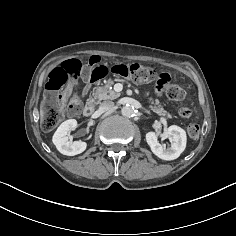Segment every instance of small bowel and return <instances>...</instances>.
<instances>
[{"instance_id": "small-bowel-1", "label": "small bowel", "mask_w": 236, "mask_h": 236, "mask_svg": "<svg viewBox=\"0 0 236 236\" xmlns=\"http://www.w3.org/2000/svg\"><path fill=\"white\" fill-rule=\"evenodd\" d=\"M89 87H90V85H87L85 90H88V89H89Z\"/></svg>"}]
</instances>
